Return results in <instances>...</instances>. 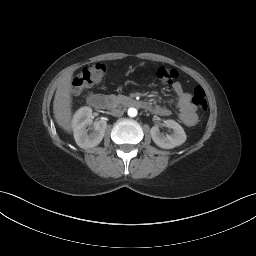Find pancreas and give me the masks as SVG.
<instances>
[{"label": "pancreas", "instance_id": "pancreas-1", "mask_svg": "<svg viewBox=\"0 0 256 256\" xmlns=\"http://www.w3.org/2000/svg\"><path fill=\"white\" fill-rule=\"evenodd\" d=\"M107 97H108V99L110 100V102H111L112 105L121 104V103H123V102H125L126 100L129 99L127 96H124V95H118V96H116V95H114V94L109 95V96H107Z\"/></svg>", "mask_w": 256, "mask_h": 256}]
</instances>
